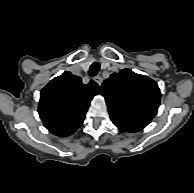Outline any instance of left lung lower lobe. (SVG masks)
<instances>
[{
    "label": "left lung lower lobe",
    "mask_w": 194,
    "mask_h": 193,
    "mask_svg": "<svg viewBox=\"0 0 194 193\" xmlns=\"http://www.w3.org/2000/svg\"><path fill=\"white\" fill-rule=\"evenodd\" d=\"M111 121L122 131L125 132H137L143 129V127L134 125L125 121L111 118Z\"/></svg>",
    "instance_id": "left-lung-lower-lobe-1"
}]
</instances>
